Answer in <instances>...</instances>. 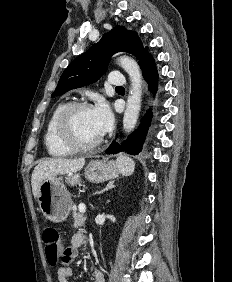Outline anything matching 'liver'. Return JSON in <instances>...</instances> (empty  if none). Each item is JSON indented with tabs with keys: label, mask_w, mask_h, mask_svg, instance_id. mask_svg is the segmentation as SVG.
Masks as SVG:
<instances>
[{
	"label": "liver",
	"mask_w": 232,
	"mask_h": 282,
	"mask_svg": "<svg viewBox=\"0 0 232 282\" xmlns=\"http://www.w3.org/2000/svg\"><path fill=\"white\" fill-rule=\"evenodd\" d=\"M85 165V159H64L51 158L40 162L33 170L31 185L35 198L38 197V190L46 179L62 174H70L80 171Z\"/></svg>",
	"instance_id": "1"
}]
</instances>
